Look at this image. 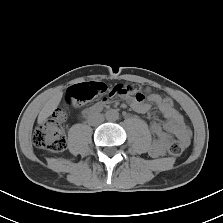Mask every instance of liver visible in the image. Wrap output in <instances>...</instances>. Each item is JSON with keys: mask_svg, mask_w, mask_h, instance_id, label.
<instances>
[{"mask_svg": "<svg viewBox=\"0 0 223 223\" xmlns=\"http://www.w3.org/2000/svg\"><path fill=\"white\" fill-rule=\"evenodd\" d=\"M62 95L63 93L59 92L45 103L38 115L39 124H42L55 111L61 101Z\"/></svg>", "mask_w": 223, "mask_h": 223, "instance_id": "obj_1", "label": "liver"}]
</instances>
